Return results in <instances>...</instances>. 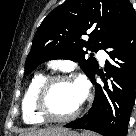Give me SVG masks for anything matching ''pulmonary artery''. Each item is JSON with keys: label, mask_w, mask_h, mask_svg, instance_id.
Listing matches in <instances>:
<instances>
[{"label": "pulmonary artery", "mask_w": 136, "mask_h": 136, "mask_svg": "<svg viewBox=\"0 0 136 136\" xmlns=\"http://www.w3.org/2000/svg\"><path fill=\"white\" fill-rule=\"evenodd\" d=\"M97 57L99 59V61L101 62V64H103L105 62V58H106V53L104 50H99L97 53Z\"/></svg>", "instance_id": "obj_1"}]
</instances>
